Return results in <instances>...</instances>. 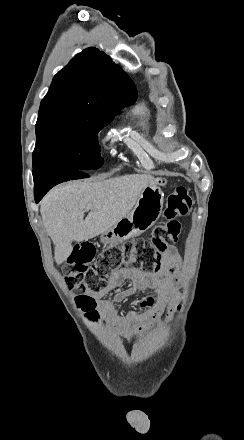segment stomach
<instances>
[{"label":"stomach","mask_w":244,"mask_h":440,"mask_svg":"<svg viewBox=\"0 0 244 440\" xmlns=\"http://www.w3.org/2000/svg\"><path fill=\"white\" fill-rule=\"evenodd\" d=\"M167 184V178H161L160 176V178H154L153 182L143 188L130 214H127L115 226L101 234L102 244L115 246V244L126 242L130 238H136V236H140V234L152 228L162 214L164 204L162 188Z\"/></svg>","instance_id":"0dacf381"}]
</instances>
